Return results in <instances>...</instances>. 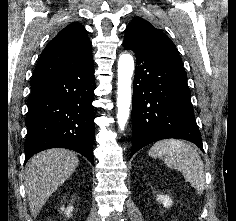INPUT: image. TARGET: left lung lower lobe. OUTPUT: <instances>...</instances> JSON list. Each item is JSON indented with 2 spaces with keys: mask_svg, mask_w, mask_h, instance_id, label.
<instances>
[{
  "mask_svg": "<svg viewBox=\"0 0 236 221\" xmlns=\"http://www.w3.org/2000/svg\"><path fill=\"white\" fill-rule=\"evenodd\" d=\"M125 49L136 55L132 103L131 156L161 139L178 138L195 143L202 151L191 94L182 63L124 38Z\"/></svg>",
  "mask_w": 236,
  "mask_h": 221,
  "instance_id": "1",
  "label": "left lung lower lobe"
}]
</instances>
